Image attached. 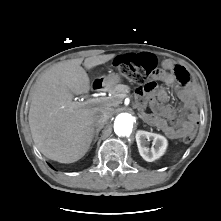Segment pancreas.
<instances>
[{
    "label": "pancreas",
    "mask_w": 221,
    "mask_h": 221,
    "mask_svg": "<svg viewBox=\"0 0 221 221\" xmlns=\"http://www.w3.org/2000/svg\"><path fill=\"white\" fill-rule=\"evenodd\" d=\"M129 93V87L127 85L119 84L111 90V97L107 98V103L111 106H116L122 102V100Z\"/></svg>",
    "instance_id": "cf45deb5"
}]
</instances>
